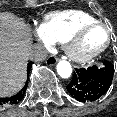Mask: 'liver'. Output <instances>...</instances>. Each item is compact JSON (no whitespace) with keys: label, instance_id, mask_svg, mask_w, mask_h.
Returning <instances> with one entry per match:
<instances>
[{"label":"liver","instance_id":"1","mask_svg":"<svg viewBox=\"0 0 117 117\" xmlns=\"http://www.w3.org/2000/svg\"><path fill=\"white\" fill-rule=\"evenodd\" d=\"M31 32L23 19L0 13V97L17 93L26 80Z\"/></svg>","mask_w":117,"mask_h":117}]
</instances>
